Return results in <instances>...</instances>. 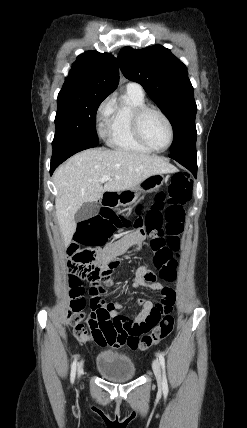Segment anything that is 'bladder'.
Returning <instances> with one entry per match:
<instances>
[{
    "label": "bladder",
    "mask_w": 247,
    "mask_h": 428,
    "mask_svg": "<svg viewBox=\"0 0 247 428\" xmlns=\"http://www.w3.org/2000/svg\"><path fill=\"white\" fill-rule=\"evenodd\" d=\"M96 369L107 380L125 383L136 377V366L132 358L119 350L101 351L97 357Z\"/></svg>",
    "instance_id": "31cf9c89"
}]
</instances>
